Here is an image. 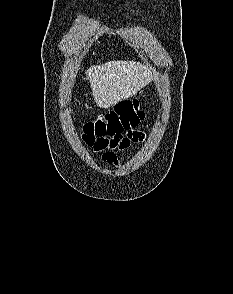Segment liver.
I'll list each match as a JSON object with an SVG mask.
<instances>
[{
  "label": "liver",
  "instance_id": "liver-1",
  "mask_svg": "<svg viewBox=\"0 0 233 294\" xmlns=\"http://www.w3.org/2000/svg\"><path fill=\"white\" fill-rule=\"evenodd\" d=\"M98 107L109 108L137 94L153 79L151 70L139 62L108 61L86 71Z\"/></svg>",
  "mask_w": 233,
  "mask_h": 294
}]
</instances>
